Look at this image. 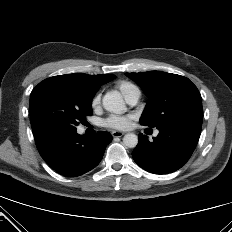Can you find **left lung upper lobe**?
<instances>
[{
	"label": "left lung upper lobe",
	"mask_w": 232,
	"mask_h": 232,
	"mask_svg": "<svg viewBox=\"0 0 232 232\" xmlns=\"http://www.w3.org/2000/svg\"><path fill=\"white\" fill-rule=\"evenodd\" d=\"M150 98L140 123L158 128L164 123L182 119L202 118L201 95L186 77L161 71L127 73Z\"/></svg>",
	"instance_id": "1"
}]
</instances>
